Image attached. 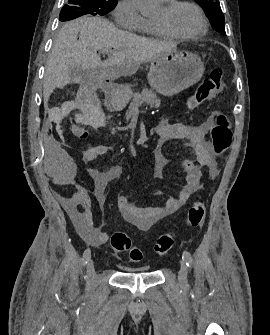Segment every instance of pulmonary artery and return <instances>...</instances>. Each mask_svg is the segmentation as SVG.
I'll use <instances>...</instances> for the list:
<instances>
[{"instance_id":"e3ab8cb5","label":"pulmonary artery","mask_w":270,"mask_h":335,"mask_svg":"<svg viewBox=\"0 0 270 335\" xmlns=\"http://www.w3.org/2000/svg\"><path fill=\"white\" fill-rule=\"evenodd\" d=\"M161 1L164 2L165 4H168V3L173 2L174 0H161Z\"/></svg>"}]
</instances>
